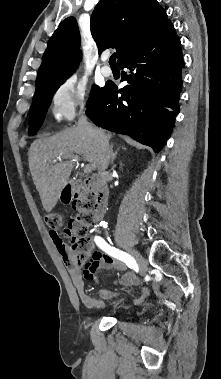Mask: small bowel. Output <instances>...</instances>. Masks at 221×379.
I'll return each mask as SVG.
<instances>
[{"mask_svg": "<svg viewBox=\"0 0 221 379\" xmlns=\"http://www.w3.org/2000/svg\"><path fill=\"white\" fill-rule=\"evenodd\" d=\"M51 238L59 254L62 256L64 263L68 269L71 281L76 288L77 294L81 302L90 309H101L105 306L106 300H111L117 296V293L101 289L99 292V298L91 296L85 289V282H95L99 284V269H116L124 272L120 279V284L123 286L134 285L137 283L135 276L127 272V266L122 261L115 259L109 254H103L99 251H93L88 254L86 263L88 266L81 268L75 262L74 254L65 245L62 239L58 235H52ZM148 294L146 288L142 289V295L135 300V303H140L143 298Z\"/></svg>", "mask_w": 221, "mask_h": 379, "instance_id": "1", "label": "small bowel"}]
</instances>
